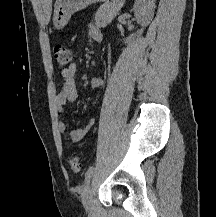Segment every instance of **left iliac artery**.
<instances>
[{
  "label": "left iliac artery",
  "instance_id": "obj_1",
  "mask_svg": "<svg viewBox=\"0 0 216 217\" xmlns=\"http://www.w3.org/2000/svg\"><path fill=\"white\" fill-rule=\"evenodd\" d=\"M93 171H94V167L93 166H91V167L88 168V170L85 173V183H88L90 181V178H91V176L93 174Z\"/></svg>",
  "mask_w": 216,
  "mask_h": 217
}]
</instances>
